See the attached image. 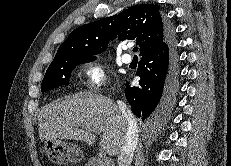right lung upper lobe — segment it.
I'll use <instances>...</instances> for the list:
<instances>
[{
	"label": "right lung upper lobe",
	"mask_w": 231,
	"mask_h": 166,
	"mask_svg": "<svg viewBox=\"0 0 231 166\" xmlns=\"http://www.w3.org/2000/svg\"><path fill=\"white\" fill-rule=\"evenodd\" d=\"M167 36V22L158 8L149 4L136 5L119 15L73 30L58 48L53 61L69 56L100 54L116 38L135 40L140 46V56H144L159 49Z\"/></svg>",
	"instance_id": "right-lung-upper-lobe-1"
}]
</instances>
